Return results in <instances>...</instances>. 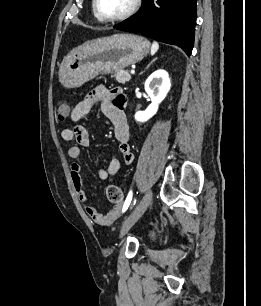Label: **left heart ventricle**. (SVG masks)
<instances>
[{
	"label": "left heart ventricle",
	"mask_w": 261,
	"mask_h": 306,
	"mask_svg": "<svg viewBox=\"0 0 261 306\" xmlns=\"http://www.w3.org/2000/svg\"><path fill=\"white\" fill-rule=\"evenodd\" d=\"M134 0H98L100 12L107 17H115L125 13Z\"/></svg>",
	"instance_id": "1"
}]
</instances>
